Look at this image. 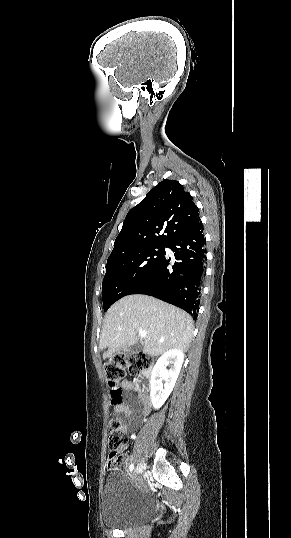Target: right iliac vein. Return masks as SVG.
Listing matches in <instances>:
<instances>
[{"label": "right iliac vein", "instance_id": "63e3f726", "mask_svg": "<svg viewBox=\"0 0 291 538\" xmlns=\"http://www.w3.org/2000/svg\"><path fill=\"white\" fill-rule=\"evenodd\" d=\"M145 468H146V464H145V462H141V463H139V464L137 465V467H136L134 473H143L144 470H145ZM134 473H133V474H134Z\"/></svg>", "mask_w": 291, "mask_h": 538}]
</instances>
